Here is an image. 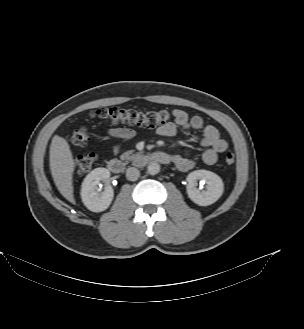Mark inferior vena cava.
Returning <instances> with one entry per match:
<instances>
[{
    "mask_svg": "<svg viewBox=\"0 0 304 329\" xmlns=\"http://www.w3.org/2000/svg\"><path fill=\"white\" fill-rule=\"evenodd\" d=\"M140 176V172L135 167H130L126 170V177L130 181H136Z\"/></svg>",
    "mask_w": 304,
    "mask_h": 329,
    "instance_id": "602c4592",
    "label": "inferior vena cava"
}]
</instances>
